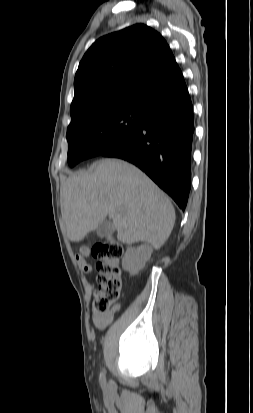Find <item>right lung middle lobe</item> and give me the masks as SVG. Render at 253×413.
<instances>
[{
	"instance_id": "right-lung-middle-lobe-1",
	"label": "right lung middle lobe",
	"mask_w": 253,
	"mask_h": 413,
	"mask_svg": "<svg viewBox=\"0 0 253 413\" xmlns=\"http://www.w3.org/2000/svg\"><path fill=\"white\" fill-rule=\"evenodd\" d=\"M145 115L146 110L139 108L109 107L72 120L67 129L68 165L114 147L143 125Z\"/></svg>"
}]
</instances>
